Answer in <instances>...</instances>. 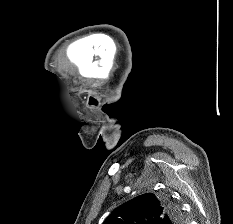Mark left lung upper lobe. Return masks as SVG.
<instances>
[{
	"label": "left lung upper lobe",
	"instance_id": "left-lung-upper-lobe-1",
	"mask_svg": "<svg viewBox=\"0 0 233 224\" xmlns=\"http://www.w3.org/2000/svg\"><path fill=\"white\" fill-rule=\"evenodd\" d=\"M181 223V211L168 196L145 193L117 207L103 224Z\"/></svg>",
	"mask_w": 233,
	"mask_h": 224
}]
</instances>
